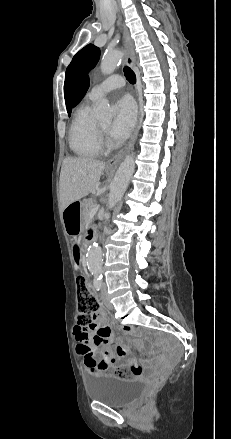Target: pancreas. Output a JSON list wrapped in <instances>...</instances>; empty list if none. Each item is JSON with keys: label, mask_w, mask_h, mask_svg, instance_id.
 <instances>
[{"label": "pancreas", "mask_w": 231, "mask_h": 439, "mask_svg": "<svg viewBox=\"0 0 231 439\" xmlns=\"http://www.w3.org/2000/svg\"><path fill=\"white\" fill-rule=\"evenodd\" d=\"M94 207L95 204L91 198L83 200L81 213H82V219L85 222H90L92 220V217L90 216V212Z\"/></svg>", "instance_id": "1"}]
</instances>
